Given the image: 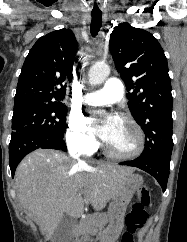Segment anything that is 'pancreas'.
Here are the masks:
<instances>
[{"instance_id":"1","label":"pancreas","mask_w":187,"mask_h":242,"mask_svg":"<svg viewBox=\"0 0 187 242\" xmlns=\"http://www.w3.org/2000/svg\"><path fill=\"white\" fill-rule=\"evenodd\" d=\"M106 224L107 217L103 213L86 217L80 222L76 242H91V236L96 233L98 228H102Z\"/></svg>"}]
</instances>
